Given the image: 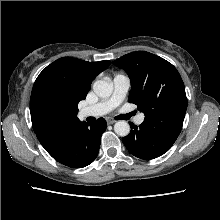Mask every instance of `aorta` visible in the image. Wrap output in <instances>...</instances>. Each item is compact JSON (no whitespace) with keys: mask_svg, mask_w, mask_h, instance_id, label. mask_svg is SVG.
Instances as JSON below:
<instances>
[{"mask_svg":"<svg viewBox=\"0 0 220 220\" xmlns=\"http://www.w3.org/2000/svg\"><path fill=\"white\" fill-rule=\"evenodd\" d=\"M94 93L102 98H108L113 92V84L104 80H97L93 84ZM114 131L118 136L125 137L130 133V125L126 121H117Z\"/></svg>","mask_w":220,"mask_h":220,"instance_id":"1","label":"aorta"}]
</instances>
